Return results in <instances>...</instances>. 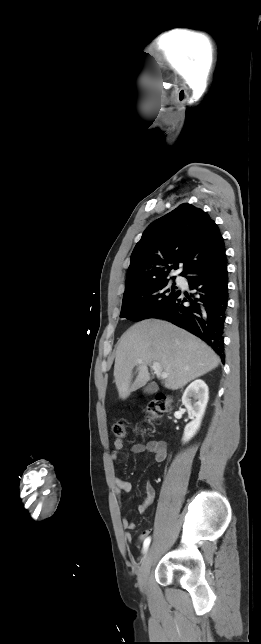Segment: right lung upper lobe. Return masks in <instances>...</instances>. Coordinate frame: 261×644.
<instances>
[{
	"label": "right lung upper lobe",
	"mask_w": 261,
	"mask_h": 644,
	"mask_svg": "<svg viewBox=\"0 0 261 644\" xmlns=\"http://www.w3.org/2000/svg\"><path fill=\"white\" fill-rule=\"evenodd\" d=\"M224 256V240L215 222L203 210L182 204L143 232L131 255L125 289L166 279L179 264L183 275Z\"/></svg>",
	"instance_id": "cb5924a9"
}]
</instances>
